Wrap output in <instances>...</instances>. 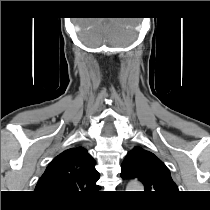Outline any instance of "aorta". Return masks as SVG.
Returning <instances> with one entry per match:
<instances>
[{
    "label": "aorta",
    "mask_w": 210,
    "mask_h": 210,
    "mask_svg": "<svg viewBox=\"0 0 210 210\" xmlns=\"http://www.w3.org/2000/svg\"><path fill=\"white\" fill-rule=\"evenodd\" d=\"M127 188L128 191H142L143 186L139 182H131Z\"/></svg>",
    "instance_id": "762f6f07"
}]
</instances>
